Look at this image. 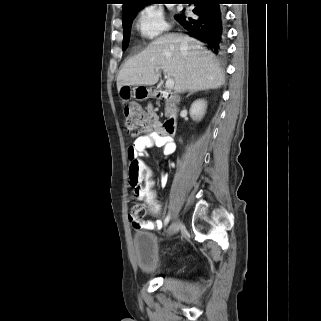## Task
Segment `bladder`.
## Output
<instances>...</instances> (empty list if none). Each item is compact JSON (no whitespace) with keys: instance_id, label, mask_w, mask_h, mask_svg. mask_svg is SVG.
Returning <instances> with one entry per match:
<instances>
[{"instance_id":"obj_1","label":"bladder","mask_w":321,"mask_h":321,"mask_svg":"<svg viewBox=\"0 0 321 321\" xmlns=\"http://www.w3.org/2000/svg\"><path fill=\"white\" fill-rule=\"evenodd\" d=\"M132 246L138 267L147 274L160 270L159 239L151 232L139 231L132 236Z\"/></svg>"}]
</instances>
